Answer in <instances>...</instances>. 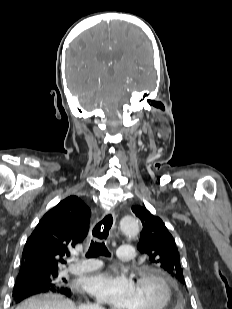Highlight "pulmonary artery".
I'll return each mask as SVG.
<instances>
[{
  "instance_id": "obj_1",
  "label": "pulmonary artery",
  "mask_w": 232,
  "mask_h": 309,
  "mask_svg": "<svg viewBox=\"0 0 232 309\" xmlns=\"http://www.w3.org/2000/svg\"><path fill=\"white\" fill-rule=\"evenodd\" d=\"M117 258L121 261L131 262L134 259V248L132 246H120L117 249ZM100 267L97 261H84L70 264L67 271L72 274H83Z\"/></svg>"
}]
</instances>
